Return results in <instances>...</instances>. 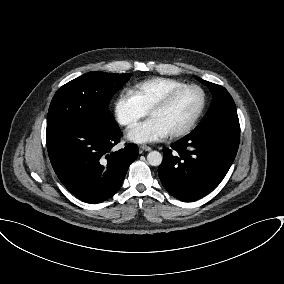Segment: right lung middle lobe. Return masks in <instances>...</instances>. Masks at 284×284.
<instances>
[{
    "instance_id": "dd1d6c3e",
    "label": "right lung middle lobe",
    "mask_w": 284,
    "mask_h": 284,
    "mask_svg": "<svg viewBox=\"0 0 284 284\" xmlns=\"http://www.w3.org/2000/svg\"><path fill=\"white\" fill-rule=\"evenodd\" d=\"M130 76L128 73L89 72L63 85L51 101L46 136L70 127L114 130L118 125L108 104Z\"/></svg>"
}]
</instances>
